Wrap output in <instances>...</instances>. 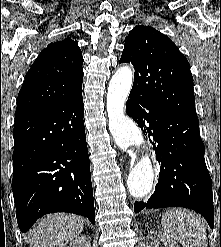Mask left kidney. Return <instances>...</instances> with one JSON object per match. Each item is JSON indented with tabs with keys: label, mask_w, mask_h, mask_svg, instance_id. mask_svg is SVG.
Returning <instances> with one entry per match:
<instances>
[{
	"label": "left kidney",
	"mask_w": 221,
	"mask_h": 247,
	"mask_svg": "<svg viewBox=\"0 0 221 247\" xmlns=\"http://www.w3.org/2000/svg\"><path fill=\"white\" fill-rule=\"evenodd\" d=\"M160 242H162L165 247H179L174 240H171L162 232H152L147 238V247H158Z\"/></svg>",
	"instance_id": "obj_1"
}]
</instances>
